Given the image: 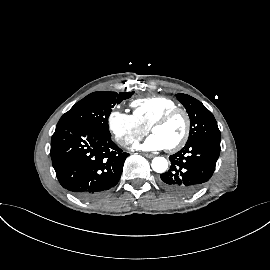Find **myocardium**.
Listing matches in <instances>:
<instances>
[{
	"mask_svg": "<svg viewBox=\"0 0 270 270\" xmlns=\"http://www.w3.org/2000/svg\"><path fill=\"white\" fill-rule=\"evenodd\" d=\"M179 114L182 115L185 119V130H184L182 137L180 138V140L178 142H176L174 145H172L170 147H167V150L170 152H175V151H178L179 149H181L189 139L190 132H191V120H190L188 113L184 109L176 107V108H173V109H170V110L164 112L157 119H155L151 123V125L149 126L150 131H153L154 128L165 124L171 118H173L174 116L179 115Z\"/></svg>",
	"mask_w": 270,
	"mask_h": 270,
	"instance_id": "1",
	"label": "myocardium"
}]
</instances>
